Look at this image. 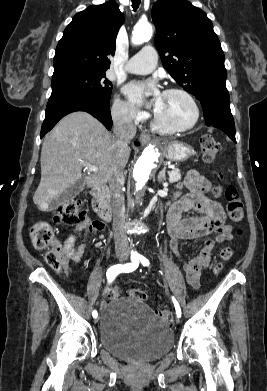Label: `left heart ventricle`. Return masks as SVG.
I'll list each match as a JSON object with an SVG mask.
<instances>
[{"mask_svg": "<svg viewBox=\"0 0 267 391\" xmlns=\"http://www.w3.org/2000/svg\"><path fill=\"white\" fill-rule=\"evenodd\" d=\"M156 115L167 124L184 126L191 122L193 109L183 95L163 93L156 105Z\"/></svg>", "mask_w": 267, "mask_h": 391, "instance_id": "1", "label": "left heart ventricle"}]
</instances>
